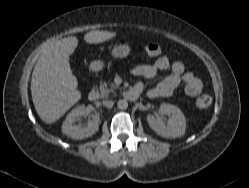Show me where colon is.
<instances>
[{"label": "colon", "instance_id": "obj_1", "mask_svg": "<svg viewBox=\"0 0 249 188\" xmlns=\"http://www.w3.org/2000/svg\"><path fill=\"white\" fill-rule=\"evenodd\" d=\"M145 52L149 56H155L160 53V46L155 42H148L144 47ZM211 98L208 95H202L197 98L196 105L199 108H207L211 105Z\"/></svg>", "mask_w": 249, "mask_h": 188}]
</instances>
